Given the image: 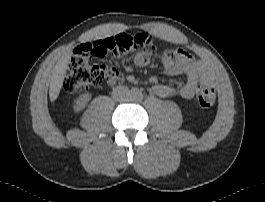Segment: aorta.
I'll list each match as a JSON object with an SVG mask.
<instances>
[{
	"label": "aorta",
	"instance_id": "762f6f07",
	"mask_svg": "<svg viewBox=\"0 0 265 202\" xmlns=\"http://www.w3.org/2000/svg\"><path fill=\"white\" fill-rule=\"evenodd\" d=\"M131 95H132L133 98H138V97H140V92L137 91V90H134V91H132Z\"/></svg>",
	"mask_w": 265,
	"mask_h": 202
}]
</instances>
